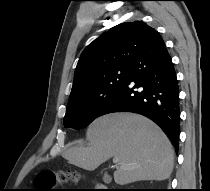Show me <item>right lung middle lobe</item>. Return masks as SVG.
I'll return each mask as SVG.
<instances>
[{
    "label": "right lung middle lobe",
    "mask_w": 210,
    "mask_h": 191,
    "mask_svg": "<svg viewBox=\"0 0 210 191\" xmlns=\"http://www.w3.org/2000/svg\"><path fill=\"white\" fill-rule=\"evenodd\" d=\"M129 66L102 72L83 91L69 98L64 127L81 129L99 117L101 109L115 92L128 80Z\"/></svg>",
    "instance_id": "1"
}]
</instances>
